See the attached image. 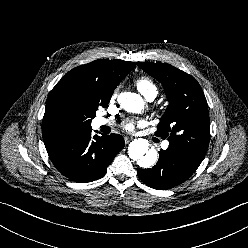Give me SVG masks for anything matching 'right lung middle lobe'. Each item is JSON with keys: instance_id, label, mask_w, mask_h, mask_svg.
<instances>
[{"instance_id": "obj_1", "label": "right lung middle lobe", "mask_w": 248, "mask_h": 248, "mask_svg": "<svg viewBox=\"0 0 248 248\" xmlns=\"http://www.w3.org/2000/svg\"><path fill=\"white\" fill-rule=\"evenodd\" d=\"M110 98H100L92 92H79L55 100L46 108L48 124L62 132L91 129V121L99 107H107Z\"/></svg>"}]
</instances>
